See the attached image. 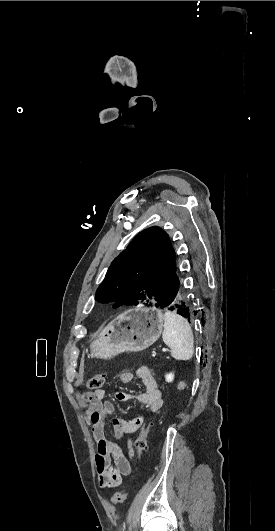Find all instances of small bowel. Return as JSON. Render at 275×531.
<instances>
[{
  "label": "small bowel",
  "mask_w": 275,
  "mask_h": 531,
  "mask_svg": "<svg viewBox=\"0 0 275 531\" xmlns=\"http://www.w3.org/2000/svg\"><path fill=\"white\" fill-rule=\"evenodd\" d=\"M137 376L142 381L145 390L141 393H124L121 400L136 401L151 413L160 411L163 399L162 392L153 373L147 366L137 369ZM133 380L131 372H123L120 381L128 384ZM104 389L85 394V421L91 426L92 436L96 444L95 466L102 487L113 488L119 486L125 476L131 473L132 461L135 455L133 441L130 435L142 426L144 415L131 420H125L115 415V405L105 399ZM111 420V433L114 440L106 436V422ZM126 440V452L115 440Z\"/></svg>",
  "instance_id": "1"
}]
</instances>
